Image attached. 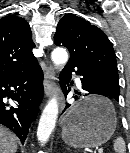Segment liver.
Instances as JSON below:
<instances>
[{
	"label": "liver",
	"instance_id": "obj_1",
	"mask_svg": "<svg viewBox=\"0 0 130 153\" xmlns=\"http://www.w3.org/2000/svg\"><path fill=\"white\" fill-rule=\"evenodd\" d=\"M17 137L7 128L0 125V153H15Z\"/></svg>",
	"mask_w": 130,
	"mask_h": 153
}]
</instances>
